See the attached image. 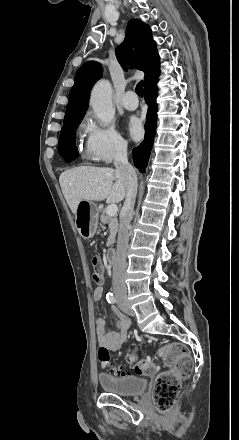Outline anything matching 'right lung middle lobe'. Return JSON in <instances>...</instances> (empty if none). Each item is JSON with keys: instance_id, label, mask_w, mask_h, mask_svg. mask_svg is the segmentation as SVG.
<instances>
[{"instance_id": "1", "label": "right lung middle lobe", "mask_w": 239, "mask_h": 440, "mask_svg": "<svg viewBox=\"0 0 239 440\" xmlns=\"http://www.w3.org/2000/svg\"><path fill=\"white\" fill-rule=\"evenodd\" d=\"M82 118L83 116L63 124V128L59 137V144H58L59 154L63 153L65 150L75 147V139H76L75 130L80 124Z\"/></svg>"}]
</instances>
